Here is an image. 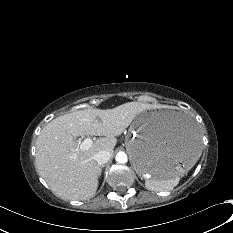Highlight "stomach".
I'll use <instances>...</instances> for the list:
<instances>
[{
	"label": "stomach",
	"instance_id": "obj_1",
	"mask_svg": "<svg viewBox=\"0 0 233 233\" xmlns=\"http://www.w3.org/2000/svg\"><path fill=\"white\" fill-rule=\"evenodd\" d=\"M126 147L136 172L144 177L171 178L187 171L201 153L195 123L181 111H143L127 136Z\"/></svg>",
	"mask_w": 233,
	"mask_h": 233
}]
</instances>
